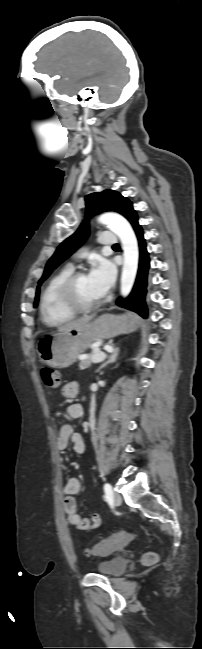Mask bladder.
Masks as SVG:
<instances>
[{"mask_svg":"<svg viewBox=\"0 0 202 649\" xmlns=\"http://www.w3.org/2000/svg\"><path fill=\"white\" fill-rule=\"evenodd\" d=\"M128 562L123 557H115L110 560L100 562L96 568L99 574L105 576H119L123 574L127 568Z\"/></svg>","mask_w":202,"mask_h":649,"instance_id":"obj_1","label":"bladder"}]
</instances>
